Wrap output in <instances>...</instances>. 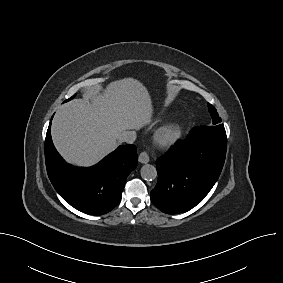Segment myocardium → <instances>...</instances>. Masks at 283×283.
Masks as SVG:
<instances>
[{
    "label": "myocardium",
    "instance_id": "obj_1",
    "mask_svg": "<svg viewBox=\"0 0 283 283\" xmlns=\"http://www.w3.org/2000/svg\"><path fill=\"white\" fill-rule=\"evenodd\" d=\"M182 133L183 128L181 124L169 122L155 132L154 141L161 148H170L180 140Z\"/></svg>",
    "mask_w": 283,
    "mask_h": 283
}]
</instances>
